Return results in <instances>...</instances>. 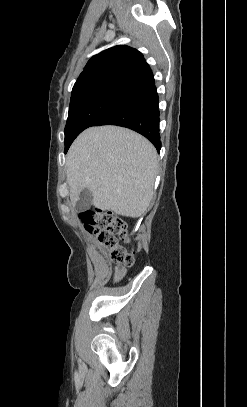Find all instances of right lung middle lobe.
Listing matches in <instances>:
<instances>
[{
  "label": "right lung middle lobe",
  "instance_id": "dd1d6c3e",
  "mask_svg": "<svg viewBox=\"0 0 247 407\" xmlns=\"http://www.w3.org/2000/svg\"><path fill=\"white\" fill-rule=\"evenodd\" d=\"M135 93L136 90L125 87H111L70 102L64 131L65 153L83 130Z\"/></svg>",
  "mask_w": 247,
  "mask_h": 407
}]
</instances>
